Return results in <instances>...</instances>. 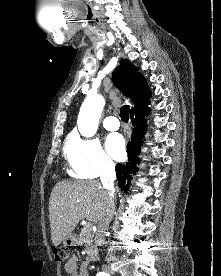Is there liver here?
I'll return each mask as SVG.
<instances>
[{
	"label": "liver",
	"mask_w": 221,
	"mask_h": 276,
	"mask_svg": "<svg viewBox=\"0 0 221 276\" xmlns=\"http://www.w3.org/2000/svg\"><path fill=\"white\" fill-rule=\"evenodd\" d=\"M108 198V191L96 180L57 183L49 199L52 243L58 246L82 219L98 222Z\"/></svg>",
	"instance_id": "6515ba94"
}]
</instances>
